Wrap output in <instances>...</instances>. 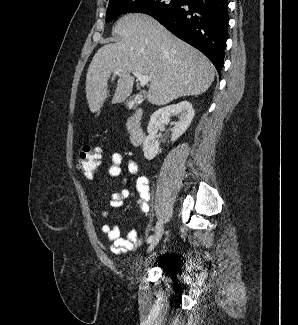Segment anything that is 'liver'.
Instances as JSON below:
<instances>
[{"label":"liver","mask_w":298,"mask_h":325,"mask_svg":"<svg viewBox=\"0 0 298 325\" xmlns=\"http://www.w3.org/2000/svg\"><path fill=\"white\" fill-rule=\"evenodd\" d=\"M112 32L119 34L121 40L98 48L88 66L85 92L91 112H98L111 96L108 80L114 70H120V74L112 104L130 96L135 80L133 70L151 76L146 98L157 106L179 96L202 94L211 86L215 68L209 58L152 16L124 14Z\"/></svg>","instance_id":"obj_1"}]
</instances>
